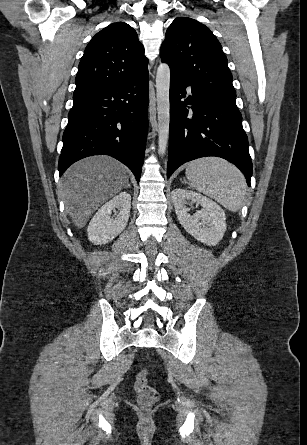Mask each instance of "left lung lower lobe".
<instances>
[{
	"instance_id": "obj_1",
	"label": "left lung lower lobe",
	"mask_w": 307,
	"mask_h": 445,
	"mask_svg": "<svg viewBox=\"0 0 307 445\" xmlns=\"http://www.w3.org/2000/svg\"><path fill=\"white\" fill-rule=\"evenodd\" d=\"M188 86L191 95L184 99ZM205 156H218L234 163L250 186L248 138L235 100L202 92L171 71L167 177L183 163Z\"/></svg>"
}]
</instances>
